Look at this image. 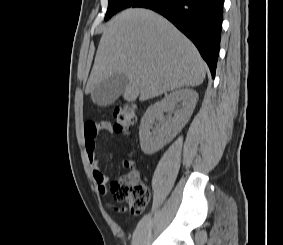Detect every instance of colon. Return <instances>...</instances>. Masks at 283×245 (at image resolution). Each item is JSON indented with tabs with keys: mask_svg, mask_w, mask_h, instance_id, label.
<instances>
[{
	"mask_svg": "<svg viewBox=\"0 0 283 245\" xmlns=\"http://www.w3.org/2000/svg\"><path fill=\"white\" fill-rule=\"evenodd\" d=\"M114 130L127 133L137 121L136 108L131 103L117 105L113 110ZM129 168L130 162H125ZM111 192L117 201L126 202L134 213L142 212L149 200L147 187L139 180L137 174L129 171L111 184Z\"/></svg>",
	"mask_w": 283,
	"mask_h": 245,
	"instance_id": "colon-1",
	"label": "colon"
}]
</instances>
